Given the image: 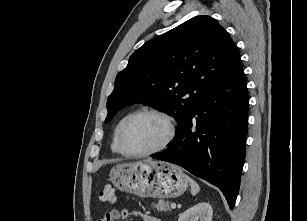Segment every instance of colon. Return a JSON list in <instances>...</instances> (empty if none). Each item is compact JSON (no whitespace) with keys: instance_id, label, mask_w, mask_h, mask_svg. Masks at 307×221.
Wrapping results in <instances>:
<instances>
[{"instance_id":"1","label":"colon","mask_w":307,"mask_h":221,"mask_svg":"<svg viewBox=\"0 0 307 221\" xmlns=\"http://www.w3.org/2000/svg\"><path fill=\"white\" fill-rule=\"evenodd\" d=\"M101 202L114 204L117 200V192L113 186H105L98 194Z\"/></svg>"}]
</instances>
